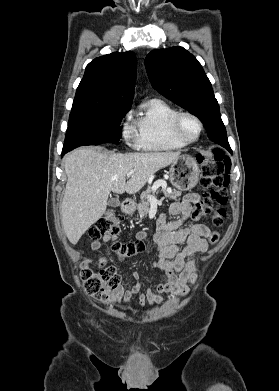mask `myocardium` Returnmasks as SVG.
I'll use <instances>...</instances> for the list:
<instances>
[{"mask_svg":"<svg viewBox=\"0 0 279 391\" xmlns=\"http://www.w3.org/2000/svg\"><path fill=\"white\" fill-rule=\"evenodd\" d=\"M184 118H191L194 120L198 126V133L195 138L193 139H188L186 138L182 131H181V126H182V121ZM171 131L173 137L178 140L179 142L185 144V145H190L195 143L201 136L202 131H203V123L200 120V118L195 115L194 113L190 111H178L176 115L173 117L172 122H171Z\"/></svg>","mask_w":279,"mask_h":391,"instance_id":"f54148a6","label":"myocardium"}]
</instances>
